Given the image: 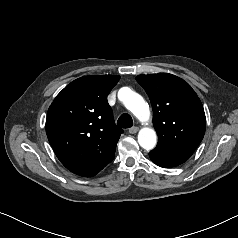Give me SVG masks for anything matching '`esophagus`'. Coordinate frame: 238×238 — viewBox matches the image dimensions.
I'll use <instances>...</instances> for the list:
<instances>
[{"label": "esophagus", "mask_w": 238, "mask_h": 238, "mask_svg": "<svg viewBox=\"0 0 238 238\" xmlns=\"http://www.w3.org/2000/svg\"><path fill=\"white\" fill-rule=\"evenodd\" d=\"M139 128L134 126L129 129L130 134H136L138 132Z\"/></svg>", "instance_id": "esophagus-1"}]
</instances>
